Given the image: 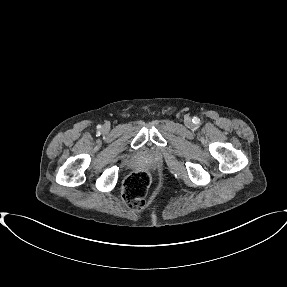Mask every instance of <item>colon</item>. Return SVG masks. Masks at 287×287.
I'll return each mask as SVG.
<instances>
[{
    "label": "colon",
    "instance_id": "obj_1",
    "mask_svg": "<svg viewBox=\"0 0 287 287\" xmlns=\"http://www.w3.org/2000/svg\"><path fill=\"white\" fill-rule=\"evenodd\" d=\"M150 176L145 171L131 173L125 179L122 188V197L132 209H141L146 204Z\"/></svg>",
    "mask_w": 287,
    "mask_h": 287
}]
</instances>
